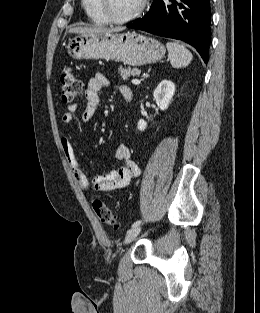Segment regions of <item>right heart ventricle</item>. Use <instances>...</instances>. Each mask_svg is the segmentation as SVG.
<instances>
[{"mask_svg":"<svg viewBox=\"0 0 260 313\" xmlns=\"http://www.w3.org/2000/svg\"><path fill=\"white\" fill-rule=\"evenodd\" d=\"M82 7L89 20L96 25H106L108 22L98 9V0H81Z\"/></svg>","mask_w":260,"mask_h":313,"instance_id":"e07e8e85","label":"right heart ventricle"}]
</instances>
